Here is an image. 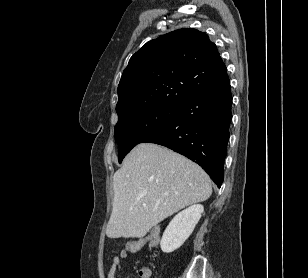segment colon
<instances>
[{
  "label": "colon",
  "mask_w": 308,
  "mask_h": 278,
  "mask_svg": "<svg viewBox=\"0 0 308 278\" xmlns=\"http://www.w3.org/2000/svg\"><path fill=\"white\" fill-rule=\"evenodd\" d=\"M165 231L161 230V227H153V231L151 235L148 236L149 246L150 247H158L160 242L158 241V237H164ZM143 240H128L127 243L122 244V249L127 250L128 253H138L143 247Z\"/></svg>",
  "instance_id": "colon-1"
}]
</instances>
